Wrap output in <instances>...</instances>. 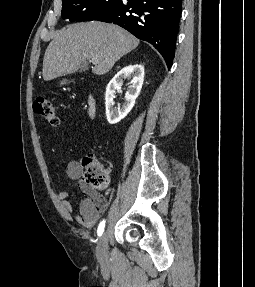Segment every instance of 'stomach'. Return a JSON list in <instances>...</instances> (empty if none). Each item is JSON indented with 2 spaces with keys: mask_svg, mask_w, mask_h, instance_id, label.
<instances>
[{
  "mask_svg": "<svg viewBox=\"0 0 255 287\" xmlns=\"http://www.w3.org/2000/svg\"><path fill=\"white\" fill-rule=\"evenodd\" d=\"M67 80H65V82H62V84H66Z\"/></svg>",
  "mask_w": 255,
  "mask_h": 287,
  "instance_id": "stomach-1",
  "label": "stomach"
}]
</instances>
